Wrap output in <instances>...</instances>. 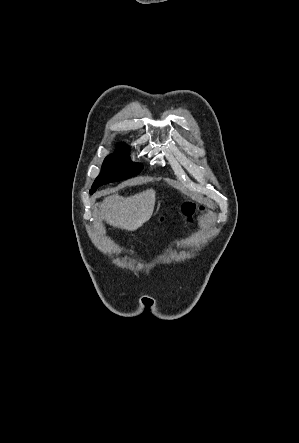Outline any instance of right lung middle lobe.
I'll return each instance as SVG.
<instances>
[{
  "label": "right lung middle lobe",
  "instance_id": "obj_1",
  "mask_svg": "<svg viewBox=\"0 0 299 443\" xmlns=\"http://www.w3.org/2000/svg\"><path fill=\"white\" fill-rule=\"evenodd\" d=\"M143 166L129 160L126 153H117L106 157L102 172L96 178L90 193L92 194L99 186L109 182L128 179L140 173Z\"/></svg>",
  "mask_w": 299,
  "mask_h": 443
}]
</instances>
